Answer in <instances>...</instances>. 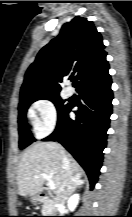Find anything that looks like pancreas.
Listing matches in <instances>:
<instances>
[{
	"mask_svg": "<svg viewBox=\"0 0 132 217\" xmlns=\"http://www.w3.org/2000/svg\"><path fill=\"white\" fill-rule=\"evenodd\" d=\"M53 210V203L50 200H47L44 202L42 206V212L43 213H50Z\"/></svg>",
	"mask_w": 132,
	"mask_h": 217,
	"instance_id": "cf45deb5",
	"label": "pancreas"
}]
</instances>
